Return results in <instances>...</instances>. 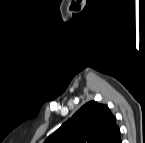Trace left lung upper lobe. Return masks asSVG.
<instances>
[{"label":"left lung upper lobe","instance_id":"5c2ea615","mask_svg":"<svg viewBox=\"0 0 145 143\" xmlns=\"http://www.w3.org/2000/svg\"><path fill=\"white\" fill-rule=\"evenodd\" d=\"M120 129L110 109L90 101L51 134L45 143H118Z\"/></svg>","mask_w":145,"mask_h":143}]
</instances>
